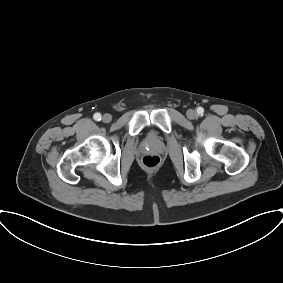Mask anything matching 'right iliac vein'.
I'll return each mask as SVG.
<instances>
[{
    "mask_svg": "<svg viewBox=\"0 0 283 283\" xmlns=\"http://www.w3.org/2000/svg\"><path fill=\"white\" fill-rule=\"evenodd\" d=\"M112 120V117L110 114L106 113L102 116V121L104 123H109Z\"/></svg>",
    "mask_w": 283,
    "mask_h": 283,
    "instance_id": "right-iliac-vein-1",
    "label": "right iliac vein"
}]
</instances>
